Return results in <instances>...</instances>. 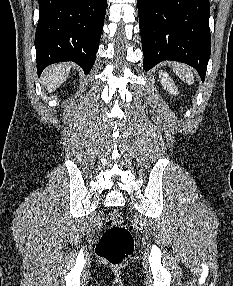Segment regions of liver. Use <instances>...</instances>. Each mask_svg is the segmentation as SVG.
Here are the masks:
<instances>
[{
	"label": "liver",
	"instance_id": "obj_1",
	"mask_svg": "<svg viewBox=\"0 0 233 286\" xmlns=\"http://www.w3.org/2000/svg\"><path fill=\"white\" fill-rule=\"evenodd\" d=\"M70 70L68 64L52 65L43 72L41 82L48 92H52L67 79Z\"/></svg>",
	"mask_w": 233,
	"mask_h": 286
}]
</instances>
